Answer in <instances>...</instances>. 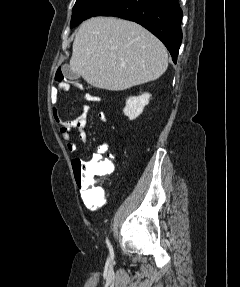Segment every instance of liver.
Returning <instances> with one entry per match:
<instances>
[{"label": "liver", "instance_id": "1", "mask_svg": "<svg viewBox=\"0 0 240 287\" xmlns=\"http://www.w3.org/2000/svg\"><path fill=\"white\" fill-rule=\"evenodd\" d=\"M168 67L163 43L141 25L114 17L83 22L69 68L90 85L122 91L158 79Z\"/></svg>", "mask_w": 240, "mask_h": 287}]
</instances>
